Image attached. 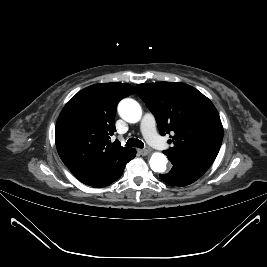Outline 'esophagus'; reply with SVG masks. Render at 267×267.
<instances>
[{
  "mask_svg": "<svg viewBox=\"0 0 267 267\" xmlns=\"http://www.w3.org/2000/svg\"><path fill=\"white\" fill-rule=\"evenodd\" d=\"M139 152H140V154L145 156V155L150 153V150L149 149H140Z\"/></svg>",
  "mask_w": 267,
  "mask_h": 267,
  "instance_id": "esophagus-1",
  "label": "esophagus"
}]
</instances>
